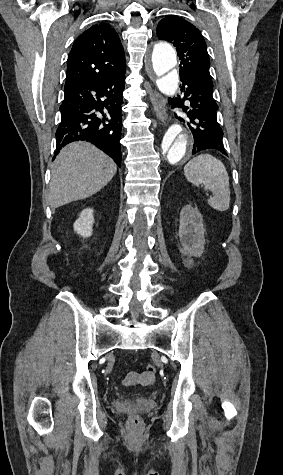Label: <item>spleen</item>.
I'll return each mask as SVG.
<instances>
[{
  "instance_id": "3e777b00",
  "label": "spleen",
  "mask_w": 283,
  "mask_h": 475,
  "mask_svg": "<svg viewBox=\"0 0 283 475\" xmlns=\"http://www.w3.org/2000/svg\"><path fill=\"white\" fill-rule=\"evenodd\" d=\"M184 176L194 186L203 184L204 190L212 192L213 198L207 200L211 208L218 212L228 210L230 204L229 176L220 160H216L210 154H200L186 164Z\"/></svg>"
}]
</instances>
